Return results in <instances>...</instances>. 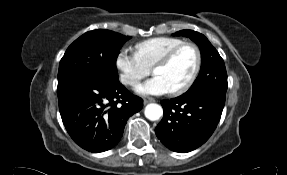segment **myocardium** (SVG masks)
Wrapping results in <instances>:
<instances>
[{
	"mask_svg": "<svg viewBox=\"0 0 287 175\" xmlns=\"http://www.w3.org/2000/svg\"><path fill=\"white\" fill-rule=\"evenodd\" d=\"M185 47H192L195 50V53H196V65H195V69H194L192 75L190 76V78L188 79V81L184 85H182L181 87H179V88H177L175 90L169 91V93L171 95H173V96H179V95H182L185 92H187L195 84L196 80L198 79V76H199L201 68H202V61H203V59H202V52H201L199 46L196 43H194V42L184 41L183 43L173 47L168 52H166L152 66V73L154 74L155 70L158 67L168 64L174 58V56L181 49H183Z\"/></svg>",
	"mask_w": 287,
	"mask_h": 175,
	"instance_id": "myocardium-1",
	"label": "myocardium"
}]
</instances>
